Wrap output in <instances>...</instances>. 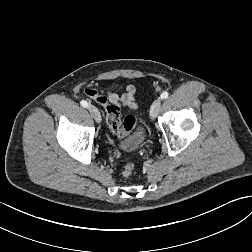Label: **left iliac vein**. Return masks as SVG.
<instances>
[{
	"mask_svg": "<svg viewBox=\"0 0 252 252\" xmlns=\"http://www.w3.org/2000/svg\"><path fill=\"white\" fill-rule=\"evenodd\" d=\"M161 109V99H156L150 109V116L152 119L156 118Z\"/></svg>",
	"mask_w": 252,
	"mask_h": 252,
	"instance_id": "left-iliac-vein-1",
	"label": "left iliac vein"
}]
</instances>
